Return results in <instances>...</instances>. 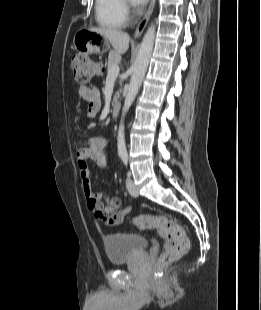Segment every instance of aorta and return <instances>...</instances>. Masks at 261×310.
Instances as JSON below:
<instances>
[{
	"label": "aorta",
	"mask_w": 261,
	"mask_h": 310,
	"mask_svg": "<svg viewBox=\"0 0 261 310\" xmlns=\"http://www.w3.org/2000/svg\"><path fill=\"white\" fill-rule=\"evenodd\" d=\"M155 39V26L152 24L145 33L140 44L139 52L136 61L133 65L132 76L130 79L129 89L124 101L122 109V117L118 129L117 149L119 156L127 155L125 132H124V117L134 102L138 93L139 87L147 71L149 61L152 55Z\"/></svg>",
	"instance_id": "1"
}]
</instances>
